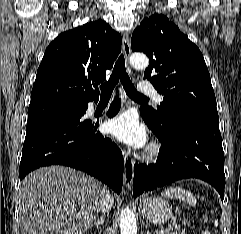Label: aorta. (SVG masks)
Segmentation results:
<instances>
[{
	"label": "aorta",
	"mask_w": 241,
	"mask_h": 234,
	"mask_svg": "<svg viewBox=\"0 0 241 234\" xmlns=\"http://www.w3.org/2000/svg\"><path fill=\"white\" fill-rule=\"evenodd\" d=\"M130 64L136 69H146L149 60L146 55L135 53L130 56ZM120 234H137L136 218L129 207L121 210Z\"/></svg>",
	"instance_id": "1"
}]
</instances>
